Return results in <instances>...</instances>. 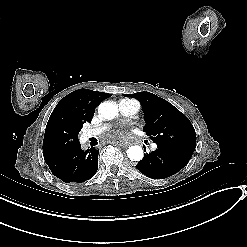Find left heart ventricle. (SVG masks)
Masks as SVG:
<instances>
[{
  "mask_svg": "<svg viewBox=\"0 0 247 247\" xmlns=\"http://www.w3.org/2000/svg\"><path fill=\"white\" fill-rule=\"evenodd\" d=\"M118 126L122 128L124 131L135 133L136 132V125L133 121H131L127 117H123L119 122ZM133 136V135H132Z\"/></svg>",
  "mask_w": 247,
  "mask_h": 247,
  "instance_id": "left-heart-ventricle-1",
  "label": "left heart ventricle"
}]
</instances>
